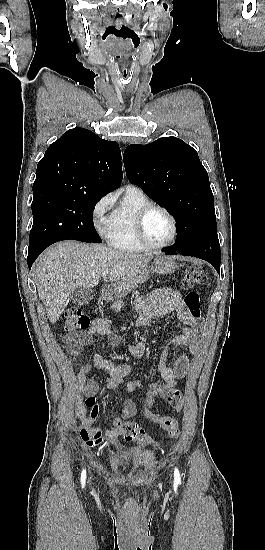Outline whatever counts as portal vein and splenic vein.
Segmentation results:
<instances>
[{"label": "portal vein and splenic vein", "instance_id": "portal-vein-and-splenic-vein-1", "mask_svg": "<svg viewBox=\"0 0 265 550\" xmlns=\"http://www.w3.org/2000/svg\"><path fill=\"white\" fill-rule=\"evenodd\" d=\"M102 276H103V277H106V276H107V273L104 272V273L102 274Z\"/></svg>", "mask_w": 265, "mask_h": 550}]
</instances>
